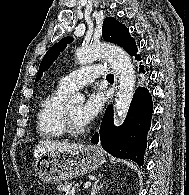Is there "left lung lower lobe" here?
Returning a JSON list of instances; mask_svg holds the SVG:
<instances>
[{
    "label": "left lung lower lobe",
    "instance_id": "left-lung-lower-lobe-1",
    "mask_svg": "<svg viewBox=\"0 0 189 195\" xmlns=\"http://www.w3.org/2000/svg\"><path fill=\"white\" fill-rule=\"evenodd\" d=\"M137 60H141V57ZM139 72L145 74L144 66ZM153 102L146 87H138L133 96L124 123L115 127L113 124V106L107 108L99 133L91 142L101 143L104 150L117 158L131 159L143 165L147 145V134L151 125Z\"/></svg>",
    "mask_w": 189,
    "mask_h": 195
}]
</instances>
